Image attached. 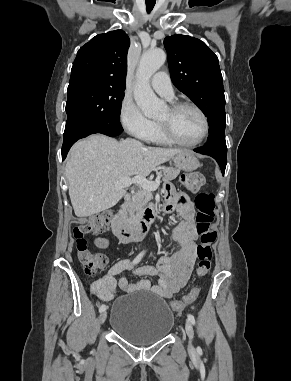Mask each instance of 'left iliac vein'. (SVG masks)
<instances>
[{"label": "left iliac vein", "mask_w": 291, "mask_h": 381, "mask_svg": "<svg viewBox=\"0 0 291 381\" xmlns=\"http://www.w3.org/2000/svg\"><path fill=\"white\" fill-rule=\"evenodd\" d=\"M185 330H186V333L190 339V347L192 348L191 341L193 339L194 332H193V327L189 321H186V323H185Z\"/></svg>", "instance_id": "left-iliac-vein-1"}]
</instances>
